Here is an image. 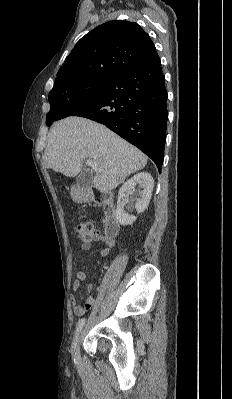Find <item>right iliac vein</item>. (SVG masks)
<instances>
[{"label": "right iliac vein", "instance_id": "right-iliac-vein-1", "mask_svg": "<svg viewBox=\"0 0 232 399\" xmlns=\"http://www.w3.org/2000/svg\"><path fill=\"white\" fill-rule=\"evenodd\" d=\"M81 338H82V335H81V334H78L77 337H76V344H75V347H78V344H79V341L81 340Z\"/></svg>", "mask_w": 232, "mask_h": 399}]
</instances>
